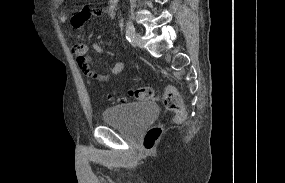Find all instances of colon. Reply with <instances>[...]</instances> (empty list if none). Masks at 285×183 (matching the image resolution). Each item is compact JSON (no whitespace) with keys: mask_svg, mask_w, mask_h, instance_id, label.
Segmentation results:
<instances>
[{"mask_svg":"<svg viewBox=\"0 0 285 183\" xmlns=\"http://www.w3.org/2000/svg\"><path fill=\"white\" fill-rule=\"evenodd\" d=\"M86 73V69L80 66ZM154 91L150 87H140L132 89L128 92L127 97L133 100L146 101L154 98ZM163 103L165 108L174 113V121L176 123H182L187 116L186 110L182 104V98L179 92L173 86H167L164 95ZM162 133L160 126H153L150 128L144 136L143 145L147 150H152Z\"/></svg>","mask_w":285,"mask_h":183,"instance_id":"1","label":"colon"}]
</instances>
